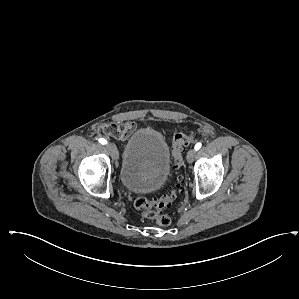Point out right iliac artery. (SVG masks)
I'll return each mask as SVG.
<instances>
[{"label":"right iliac artery","mask_w":299,"mask_h":299,"mask_svg":"<svg viewBox=\"0 0 299 299\" xmlns=\"http://www.w3.org/2000/svg\"><path fill=\"white\" fill-rule=\"evenodd\" d=\"M98 141H99V143H101L103 145L107 144V140L104 138H99Z\"/></svg>","instance_id":"right-iliac-artery-1"}]
</instances>
